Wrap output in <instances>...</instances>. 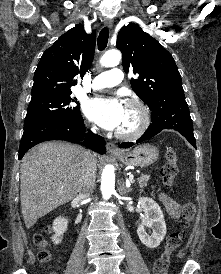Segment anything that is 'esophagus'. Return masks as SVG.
Here are the masks:
<instances>
[{
	"label": "esophagus",
	"mask_w": 221,
	"mask_h": 274,
	"mask_svg": "<svg viewBox=\"0 0 221 274\" xmlns=\"http://www.w3.org/2000/svg\"><path fill=\"white\" fill-rule=\"evenodd\" d=\"M105 25L109 28L112 27L113 26V20L111 18L105 19ZM106 149H107V152L109 154H120L119 148L117 147L116 144H114L112 142H107L106 143Z\"/></svg>",
	"instance_id": "esophagus-1"
}]
</instances>
